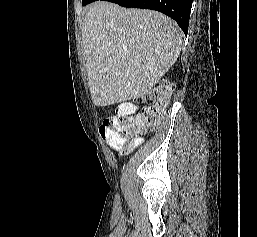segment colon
<instances>
[{
    "instance_id": "obj_1",
    "label": "colon",
    "mask_w": 257,
    "mask_h": 237,
    "mask_svg": "<svg viewBox=\"0 0 257 237\" xmlns=\"http://www.w3.org/2000/svg\"><path fill=\"white\" fill-rule=\"evenodd\" d=\"M172 92L173 86L170 83H161L148 95V105L140 114L125 116L118 113L105 119L99 128L100 136L109 144L122 143L137 134L154 130L165 113Z\"/></svg>"
}]
</instances>
